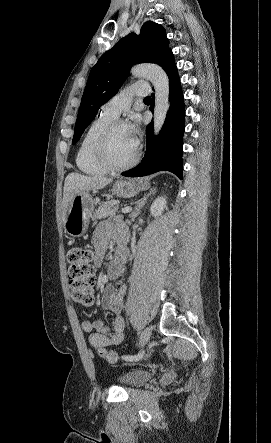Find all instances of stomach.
<instances>
[{
  "label": "stomach",
  "mask_w": 271,
  "mask_h": 443,
  "mask_svg": "<svg viewBox=\"0 0 271 443\" xmlns=\"http://www.w3.org/2000/svg\"><path fill=\"white\" fill-rule=\"evenodd\" d=\"M149 188V182L141 184L140 180H117L112 192L118 198H133V196H137L138 192H144ZM94 204L93 198L85 190H80L79 194H76L66 210L64 229L69 235L81 237L86 233Z\"/></svg>",
  "instance_id": "obj_1"
}]
</instances>
